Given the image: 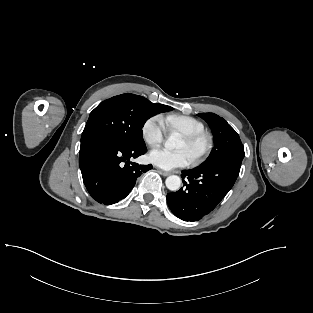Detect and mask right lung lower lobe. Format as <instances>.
<instances>
[{"label":"right lung lower lobe","instance_id":"98d812e1","mask_svg":"<svg viewBox=\"0 0 313 313\" xmlns=\"http://www.w3.org/2000/svg\"><path fill=\"white\" fill-rule=\"evenodd\" d=\"M147 152L144 144L130 145L108 135H94L81 141L79 166L89 194L105 205L124 199L137 178L153 166L131 162Z\"/></svg>","mask_w":313,"mask_h":313}]
</instances>
